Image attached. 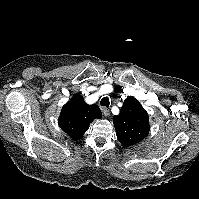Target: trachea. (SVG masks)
<instances>
[{
    "label": "trachea",
    "mask_w": 199,
    "mask_h": 199,
    "mask_svg": "<svg viewBox=\"0 0 199 199\" xmlns=\"http://www.w3.org/2000/svg\"><path fill=\"white\" fill-rule=\"evenodd\" d=\"M101 106L109 107L110 101L108 97H104L100 101Z\"/></svg>",
    "instance_id": "obj_1"
}]
</instances>
